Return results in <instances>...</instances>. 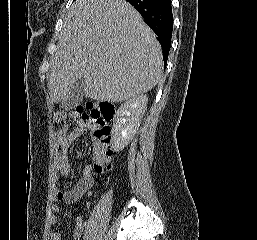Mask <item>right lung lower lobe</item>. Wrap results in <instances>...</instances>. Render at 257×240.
Listing matches in <instances>:
<instances>
[{
	"label": "right lung lower lobe",
	"mask_w": 257,
	"mask_h": 240,
	"mask_svg": "<svg viewBox=\"0 0 257 240\" xmlns=\"http://www.w3.org/2000/svg\"><path fill=\"white\" fill-rule=\"evenodd\" d=\"M142 15L147 25L158 36L163 49L164 65L166 66L171 46L173 30V14L171 0H126Z\"/></svg>",
	"instance_id": "98d812e1"
}]
</instances>
